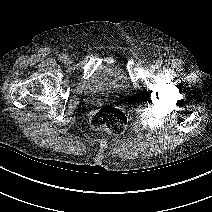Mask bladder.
<instances>
[{
  "mask_svg": "<svg viewBox=\"0 0 212 212\" xmlns=\"http://www.w3.org/2000/svg\"><path fill=\"white\" fill-rule=\"evenodd\" d=\"M130 81L121 64L112 61L99 67L88 80L83 98L88 104H94L103 98L121 99L130 90Z\"/></svg>",
  "mask_w": 212,
  "mask_h": 212,
  "instance_id": "obj_1",
  "label": "bladder"
}]
</instances>
